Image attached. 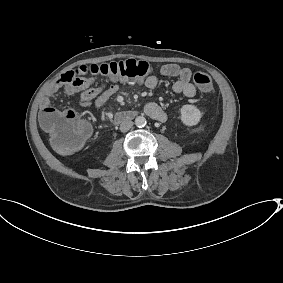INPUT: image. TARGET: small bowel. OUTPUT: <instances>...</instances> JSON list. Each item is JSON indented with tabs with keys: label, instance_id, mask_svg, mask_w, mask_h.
I'll return each mask as SVG.
<instances>
[{
	"label": "small bowel",
	"instance_id": "obj_1",
	"mask_svg": "<svg viewBox=\"0 0 283 283\" xmlns=\"http://www.w3.org/2000/svg\"><path fill=\"white\" fill-rule=\"evenodd\" d=\"M75 71L76 70L69 71L68 73H74ZM66 73L62 74L47 88L45 96L40 103L42 112L46 109L53 108L51 99L60 90L67 95L80 92V104L83 107L99 109L104 106L109 98L119 89V85L117 83L109 85L96 84L95 79L83 76H73V78L66 80L64 78ZM160 73L169 78H176V81L172 85V90L175 93L183 94L188 98H192L196 95V88L191 83L192 72L190 69L182 68L177 64L170 63L163 65L160 69ZM158 83V78L154 75H150L144 80L145 86L150 89L156 88ZM144 112L150 118L161 123L166 122L168 118L164 109L154 102L146 103L144 106Z\"/></svg>",
	"mask_w": 283,
	"mask_h": 283
}]
</instances>
